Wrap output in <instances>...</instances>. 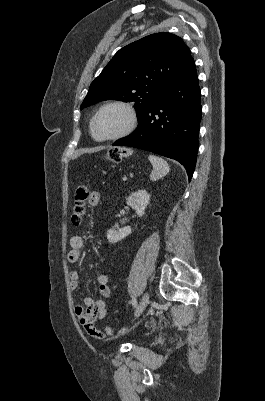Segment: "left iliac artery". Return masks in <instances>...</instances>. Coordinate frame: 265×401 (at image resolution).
I'll use <instances>...</instances> for the list:
<instances>
[{"label": "left iliac artery", "instance_id": "left-iliac-artery-1", "mask_svg": "<svg viewBox=\"0 0 265 401\" xmlns=\"http://www.w3.org/2000/svg\"><path fill=\"white\" fill-rule=\"evenodd\" d=\"M132 305H133L134 307L137 306V300H136L135 297L132 298Z\"/></svg>", "mask_w": 265, "mask_h": 401}]
</instances>
